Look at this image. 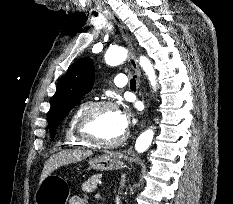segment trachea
<instances>
[{
	"label": "trachea",
	"instance_id": "obj_1",
	"mask_svg": "<svg viewBox=\"0 0 233 204\" xmlns=\"http://www.w3.org/2000/svg\"><path fill=\"white\" fill-rule=\"evenodd\" d=\"M95 16H98L97 13L94 14ZM136 76L133 77V79L130 80V88L132 89H136V80H135Z\"/></svg>",
	"mask_w": 233,
	"mask_h": 204
}]
</instances>
